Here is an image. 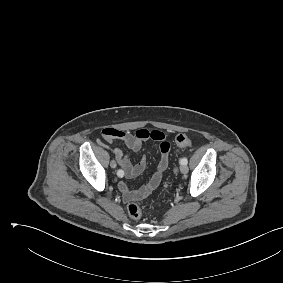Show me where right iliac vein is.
<instances>
[{"mask_svg":"<svg viewBox=\"0 0 283 283\" xmlns=\"http://www.w3.org/2000/svg\"><path fill=\"white\" fill-rule=\"evenodd\" d=\"M110 166H111V168H113V169H115L116 168V162L114 161V160H112L111 162H110Z\"/></svg>","mask_w":283,"mask_h":283,"instance_id":"right-iliac-vein-1","label":"right iliac vein"}]
</instances>
